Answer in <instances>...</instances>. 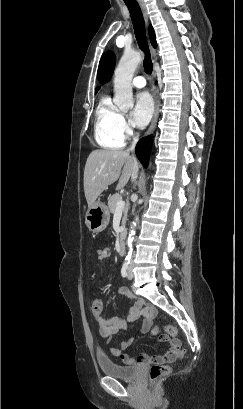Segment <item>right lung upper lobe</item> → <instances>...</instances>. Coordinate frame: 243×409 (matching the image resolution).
<instances>
[{"label":"right lung upper lobe","instance_id":"cb5924a9","mask_svg":"<svg viewBox=\"0 0 243 409\" xmlns=\"http://www.w3.org/2000/svg\"><path fill=\"white\" fill-rule=\"evenodd\" d=\"M149 37L153 47H156L155 32L152 26H149ZM115 66V55L113 52H106L99 63L97 77L102 83H106L111 79L113 70ZM99 87L96 88L95 93L98 91Z\"/></svg>","mask_w":243,"mask_h":409}]
</instances>
